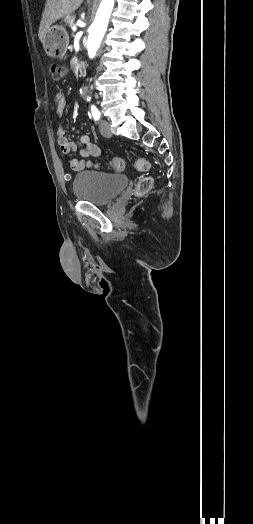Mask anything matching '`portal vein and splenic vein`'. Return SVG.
<instances>
[{"label": "portal vein and splenic vein", "mask_w": 253, "mask_h": 524, "mask_svg": "<svg viewBox=\"0 0 253 524\" xmlns=\"http://www.w3.org/2000/svg\"><path fill=\"white\" fill-rule=\"evenodd\" d=\"M72 30H73V31H76V30H77L76 25H73V26H72Z\"/></svg>", "instance_id": "portal-vein-and-splenic-vein-1"}]
</instances>
